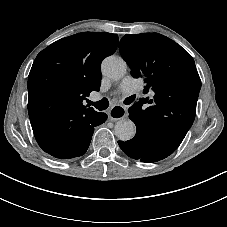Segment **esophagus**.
Wrapping results in <instances>:
<instances>
[{
  "label": "esophagus",
  "mask_w": 227,
  "mask_h": 227,
  "mask_svg": "<svg viewBox=\"0 0 227 227\" xmlns=\"http://www.w3.org/2000/svg\"><path fill=\"white\" fill-rule=\"evenodd\" d=\"M127 115L126 107L122 105H113L108 112L110 120L116 121L124 118Z\"/></svg>",
  "instance_id": "1"
}]
</instances>
